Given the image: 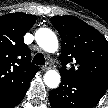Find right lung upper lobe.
Returning a JSON list of instances; mask_svg holds the SVG:
<instances>
[{
    "mask_svg": "<svg viewBox=\"0 0 108 108\" xmlns=\"http://www.w3.org/2000/svg\"><path fill=\"white\" fill-rule=\"evenodd\" d=\"M36 20L21 12L0 17V97L18 92L38 71L30 63V50L23 40Z\"/></svg>",
    "mask_w": 108,
    "mask_h": 108,
    "instance_id": "cb5924a9",
    "label": "right lung upper lobe"
}]
</instances>
